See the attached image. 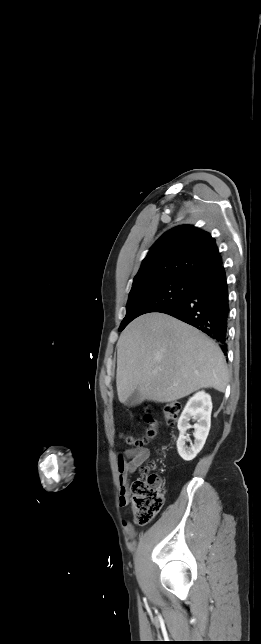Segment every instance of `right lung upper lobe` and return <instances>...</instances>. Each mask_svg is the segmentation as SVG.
Masks as SVG:
<instances>
[{
	"label": "right lung upper lobe",
	"mask_w": 261,
	"mask_h": 644,
	"mask_svg": "<svg viewBox=\"0 0 261 644\" xmlns=\"http://www.w3.org/2000/svg\"><path fill=\"white\" fill-rule=\"evenodd\" d=\"M222 265L215 240L191 225L178 226L151 247L133 287L167 278L194 280Z\"/></svg>",
	"instance_id": "obj_1"
}]
</instances>
